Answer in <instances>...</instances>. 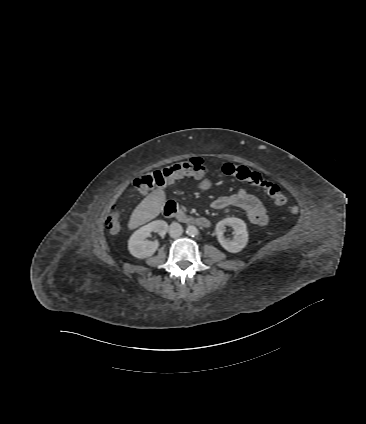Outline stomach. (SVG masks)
Masks as SVG:
<instances>
[{
  "label": "stomach",
  "mask_w": 366,
  "mask_h": 424,
  "mask_svg": "<svg viewBox=\"0 0 366 424\" xmlns=\"http://www.w3.org/2000/svg\"><path fill=\"white\" fill-rule=\"evenodd\" d=\"M212 186V182L209 179H203L199 184L198 187L202 191H206L210 189Z\"/></svg>",
  "instance_id": "obj_1"
}]
</instances>
